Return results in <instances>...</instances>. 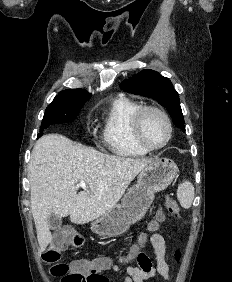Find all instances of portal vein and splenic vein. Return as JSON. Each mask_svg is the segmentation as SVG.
<instances>
[{
    "mask_svg": "<svg viewBox=\"0 0 232 282\" xmlns=\"http://www.w3.org/2000/svg\"><path fill=\"white\" fill-rule=\"evenodd\" d=\"M77 187H80V188H82V189H84V190L87 189V186H86V183H85V182H79V183L77 184Z\"/></svg>",
    "mask_w": 232,
    "mask_h": 282,
    "instance_id": "obj_1",
    "label": "portal vein and splenic vein"
}]
</instances>
